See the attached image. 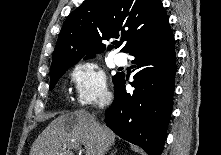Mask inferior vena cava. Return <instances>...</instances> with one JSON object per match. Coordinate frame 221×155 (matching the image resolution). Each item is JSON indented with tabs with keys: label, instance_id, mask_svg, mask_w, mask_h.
<instances>
[{
	"label": "inferior vena cava",
	"instance_id": "obj_1",
	"mask_svg": "<svg viewBox=\"0 0 221 155\" xmlns=\"http://www.w3.org/2000/svg\"><path fill=\"white\" fill-rule=\"evenodd\" d=\"M112 102V97L108 96L99 102V108H104Z\"/></svg>",
	"mask_w": 221,
	"mask_h": 155
}]
</instances>
